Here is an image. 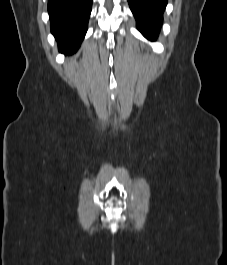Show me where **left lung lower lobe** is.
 <instances>
[{
	"label": "left lung lower lobe",
	"instance_id": "0a47b994",
	"mask_svg": "<svg viewBox=\"0 0 227 265\" xmlns=\"http://www.w3.org/2000/svg\"><path fill=\"white\" fill-rule=\"evenodd\" d=\"M138 30L149 40H155L163 21L167 0H128Z\"/></svg>",
	"mask_w": 227,
	"mask_h": 265
}]
</instances>
